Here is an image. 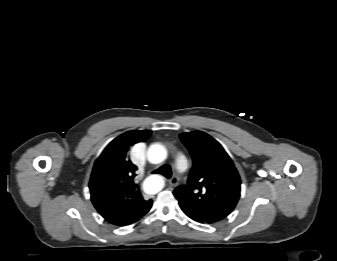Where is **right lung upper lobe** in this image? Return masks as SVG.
I'll return each instance as SVG.
<instances>
[{"instance_id": "cb5924a9", "label": "right lung upper lobe", "mask_w": 337, "mask_h": 261, "mask_svg": "<svg viewBox=\"0 0 337 261\" xmlns=\"http://www.w3.org/2000/svg\"><path fill=\"white\" fill-rule=\"evenodd\" d=\"M148 130H132L121 134L104 149L95 162L89 188L91 200L97 211L110 223L129 225L152 206L145 201L136 183L137 167L129 160V148L145 141Z\"/></svg>"}]
</instances>
